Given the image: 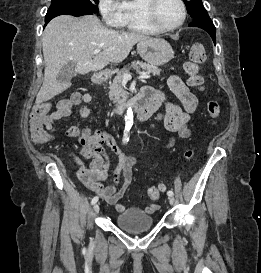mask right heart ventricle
<instances>
[{
    "label": "right heart ventricle",
    "mask_w": 261,
    "mask_h": 273,
    "mask_svg": "<svg viewBox=\"0 0 261 273\" xmlns=\"http://www.w3.org/2000/svg\"><path fill=\"white\" fill-rule=\"evenodd\" d=\"M147 0H121V11L118 27L129 32L156 34L146 17Z\"/></svg>",
    "instance_id": "right-heart-ventricle-1"
}]
</instances>
